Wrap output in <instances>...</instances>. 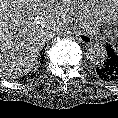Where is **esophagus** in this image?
Listing matches in <instances>:
<instances>
[{
    "mask_svg": "<svg viewBox=\"0 0 118 118\" xmlns=\"http://www.w3.org/2000/svg\"><path fill=\"white\" fill-rule=\"evenodd\" d=\"M76 34V39L83 44H87L90 45L93 43V39L92 37L87 34L86 32L82 31V30H78L75 32Z\"/></svg>",
    "mask_w": 118,
    "mask_h": 118,
    "instance_id": "esophagus-1",
    "label": "esophagus"
}]
</instances>
